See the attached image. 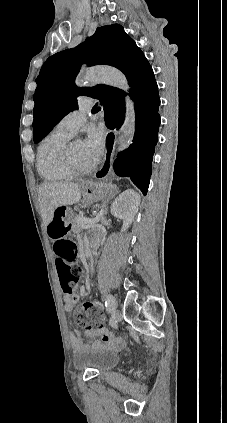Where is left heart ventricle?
<instances>
[{
	"mask_svg": "<svg viewBox=\"0 0 227 423\" xmlns=\"http://www.w3.org/2000/svg\"><path fill=\"white\" fill-rule=\"evenodd\" d=\"M72 155L77 167L86 168L90 166L85 156L84 144L82 141L77 140L74 142L72 146Z\"/></svg>",
	"mask_w": 227,
	"mask_h": 423,
	"instance_id": "obj_1",
	"label": "left heart ventricle"
}]
</instances>
